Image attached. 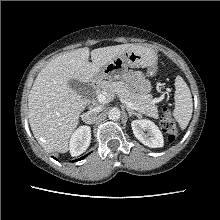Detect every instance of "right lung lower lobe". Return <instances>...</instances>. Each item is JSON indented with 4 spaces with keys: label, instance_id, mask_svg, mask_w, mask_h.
<instances>
[{
    "label": "right lung lower lobe",
    "instance_id": "obj_1",
    "mask_svg": "<svg viewBox=\"0 0 220 220\" xmlns=\"http://www.w3.org/2000/svg\"><path fill=\"white\" fill-rule=\"evenodd\" d=\"M87 155H88V154H87ZM87 155H85V156H83V157H81V158H79V159H77V160H74V161L82 160V159H84Z\"/></svg>",
    "mask_w": 220,
    "mask_h": 220
}]
</instances>
